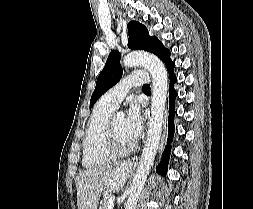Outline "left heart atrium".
I'll list each match as a JSON object with an SVG mask.
<instances>
[{
	"label": "left heart atrium",
	"instance_id": "left-heart-atrium-1",
	"mask_svg": "<svg viewBox=\"0 0 253 209\" xmlns=\"http://www.w3.org/2000/svg\"><path fill=\"white\" fill-rule=\"evenodd\" d=\"M143 115L140 106L132 102L125 118V128L129 138L135 142L143 130Z\"/></svg>",
	"mask_w": 253,
	"mask_h": 209
}]
</instances>
